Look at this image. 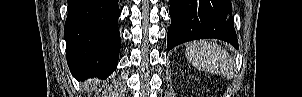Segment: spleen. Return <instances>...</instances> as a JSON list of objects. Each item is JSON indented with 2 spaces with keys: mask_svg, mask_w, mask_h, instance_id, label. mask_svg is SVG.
<instances>
[{
  "mask_svg": "<svg viewBox=\"0 0 302 97\" xmlns=\"http://www.w3.org/2000/svg\"><path fill=\"white\" fill-rule=\"evenodd\" d=\"M185 56L196 69L225 78L233 75V62L230 55L215 42L207 40L190 42L185 46Z\"/></svg>",
  "mask_w": 302,
  "mask_h": 97,
  "instance_id": "1",
  "label": "spleen"
}]
</instances>
